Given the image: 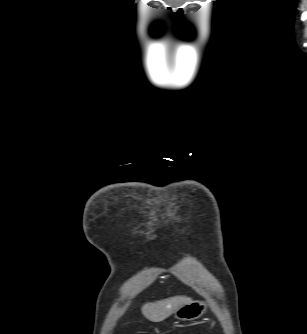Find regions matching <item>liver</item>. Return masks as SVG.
Segmentation results:
<instances>
[{
  "label": "liver",
  "instance_id": "6515ba94",
  "mask_svg": "<svg viewBox=\"0 0 307 334\" xmlns=\"http://www.w3.org/2000/svg\"><path fill=\"white\" fill-rule=\"evenodd\" d=\"M192 300L186 296H175L142 306V314L152 322H161L172 315L176 310Z\"/></svg>",
  "mask_w": 307,
  "mask_h": 334
}]
</instances>
